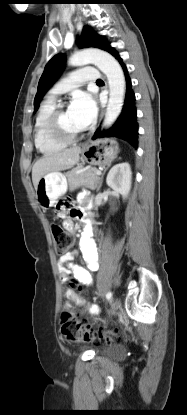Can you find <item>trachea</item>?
<instances>
[{
  "label": "trachea",
  "instance_id": "obj_1",
  "mask_svg": "<svg viewBox=\"0 0 187 415\" xmlns=\"http://www.w3.org/2000/svg\"><path fill=\"white\" fill-rule=\"evenodd\" d=\"M103 82L101 79L97 80L96 83H101Z\"/></svg>",
  "mask_w": 187,
  "mask_h": 415
}]
</instances>
